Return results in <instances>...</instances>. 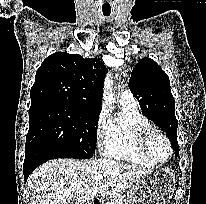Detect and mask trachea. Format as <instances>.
<instances>
[{"label":"trachea","mask_w":206,"mask_h":204,"mask_svg":"<svg viewBox=\"0 0 206 204\" xmlns=\"http://www.w3.org/2000/svg\"><path fill=\"white\" fill-rule=\"evenodd\" d=\"M104 15H105V16H108V15H110V14H108V13H104Z\"/></svg>","instance_id":"3493384b"}]
</instances>
